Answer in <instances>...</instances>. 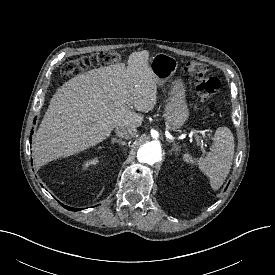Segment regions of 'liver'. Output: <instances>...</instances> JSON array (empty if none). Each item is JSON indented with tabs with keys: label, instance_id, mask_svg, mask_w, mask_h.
<instances>
[{
	"label": "liver",
	"instance_id": "1",
	"mask_svg": "<svg viewBox=\"0 0 275 275\" xmlns=\"http://www.w3.org/2000/svg\"><path fill=\"white\" fill-rule=\"evenodd\" d=\"M149 52H133L117 63L77 75L53 95L33 143L36 166L74 155L108 138L117 126L139 127V112L157 101V80Z\"/></svg>",
	"mask_w": 275,
	"mask_h": 275
}]
</instances>
